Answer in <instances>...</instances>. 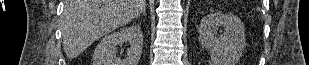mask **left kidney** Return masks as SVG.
<instances>
[{"mask_svg":"<svg viewBox=\"0 0 309 65\" xmlns=\"http://www.w3.org/2000/svg\"><path fill=\"white\" fill-rule=\"evenodd\" d=\"M219 28L223 29L218 36ZM201 45L210 51L212 65H236L244 51L246 39L242 21L235 15L211 13L198 27Z\"/></svg>","mask_w":309,"mask_h":65,"instance_id":"left-kidney-1","label":"left kidney"}]
</instances>
